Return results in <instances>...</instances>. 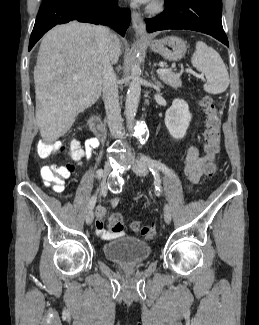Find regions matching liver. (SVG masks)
<instances>
[{"mask_svg":"<svg viewBox=\"0 0 259 325\" xmlns=\"http://www.w3.org/2000/svg\"><path fill=\"white\" fill-rule=\"evenodd\" d=\"M121 41L111 34L110 62L117 63ZM95 27L72 21L58 25L41 41L34 68L36 122L45 143L64 136L79 113L101 94Z\"/></svg>","mask_w":259,"mask_h":325,"instance_id":"obj_1","label":"liver"}]
</instances>
